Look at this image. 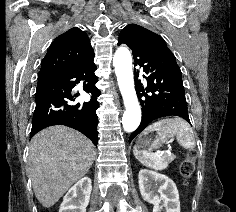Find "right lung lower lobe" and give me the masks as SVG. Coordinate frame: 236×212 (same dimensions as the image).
<instances>
[{"label":"right lung lower lobe","mask_w":236,"mask_h":212,"mask_svg":"<svg viewBox=\"0 0 236 212\" xmlns=\"http://www.w3.org/2000/svg\"><path fill=\"white\" fill-rule=\"evenodd\" d=\"M95 70L93 51L71 68L39 74L30 138L46 127L63 124L82 132L97 145L100 91L95 86ZM78 84L90 94L89 102H76L78 94L71 92Z\"/></svg>","instance_id":"right-lung-lower-lobe-1"}]
</instances>
